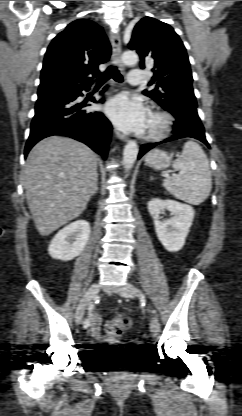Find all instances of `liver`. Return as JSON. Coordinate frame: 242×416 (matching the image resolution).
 Wrapping results in <instances>:
<instances>
[{
  "label": "liver",
  "mask_w": 242,
  "mask_h": 416,
  "mask_svg": "<svg viewBox=\"0 0 242 416\" xmlns=\"http://www.w3.org/2000/svg\"><path fill=\"white\" fill-rule=\"evenodd\" d=\"M98 156L72 138L50 136L30 151L24 187L35 227L42 236L77 218L97 183Z\"/></svg>",
  "instance_id": "obj_1"
}]
</instances>
